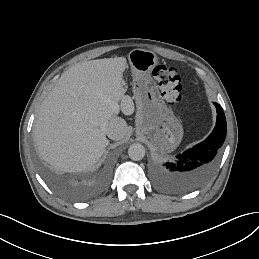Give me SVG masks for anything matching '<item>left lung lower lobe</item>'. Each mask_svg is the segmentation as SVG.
<instances>
[{
	"label": "left lung lower lobe",
	"mask_w": 259,
	"mask_h": 259,
	"mask_svg": "<svg viewBox=\"0 0 259 259\" xmlns=\"http://www.w3.org/2000/svg\"><path fill=\"white\" fill-rule=\"evenodd\" d=\"M214 105L217 121L212 133L203 142L178 155L174 162L157 166L155 177L159 183L171 188L190 186L213 172L227 131L225 114L219 104Z\"/></svg>",
	"instance_id": "obj_1"
}]
</instances>
